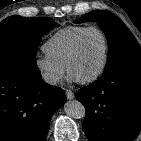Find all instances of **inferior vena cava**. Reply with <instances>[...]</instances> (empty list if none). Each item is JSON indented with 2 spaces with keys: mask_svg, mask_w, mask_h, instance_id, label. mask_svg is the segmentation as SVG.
Masks as SVG:
<instances>
[{
  "mask_svg": "<svg viewBox=\"0 0 141 141\" xmlns=\"http://www.w3.org/2000/svg\"><path fill=\"white\" fill-rule=\"evenodd\" d=\"M43 80L46 83H49V84H52V85H55L59 82V78L57 76L49 74V73L43 74Z\"/></svg>",
  "mask_w": 141,
  "mask_h": 141,
  "instance_id": "602c4592",
  "label": "inferior vena cava"
}]
</instances>
